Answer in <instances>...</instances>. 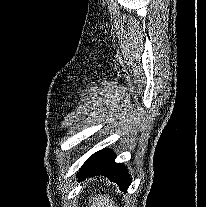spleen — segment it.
I'll return each instance as SVG.
<instances>
[{
	"label": "spleen",
	"mask_w": 206,
	"mask_h": 207,
	"mask_svg": "<svg viewBox=\"0 0 206 207\" xmlns=\"http://www.w3.org/2000/svg\"><path fill=\"white\" fill-rule=\"evenodd\" d=\"M88 205L90 207H118L114 205L113 200L110 198V196L107 194H96L93 196H90L88 199Z\"/></svg>",
	"instance_id": "obj_1"
}]
</instances>
